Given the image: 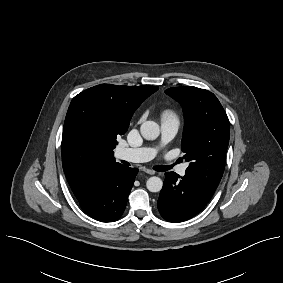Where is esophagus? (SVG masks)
I'll return each mask as SVG.
<instances>
[{"label": "esophagus", "mask_w": 283, "mask_h": 283, "mask_svg": "<svg viewBox=\"0 0 283 283\" xmlns=\"http://www.w3.org/2000/svg\"><path fill=\"white\" fill-rule=\"evenodd\" d=\"M143 171L149 175H154L155 171L152 169L144 168Z\"/></svg>", "instance_id": "esophagus-1"}]
</instances>
